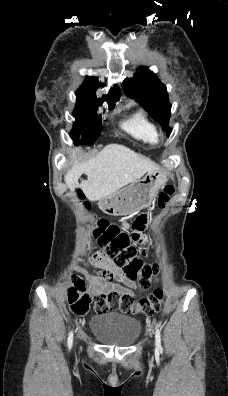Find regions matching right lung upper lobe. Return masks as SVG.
<instances>
[{"mask_svg": "<svg viewBox=\"0 0 228 396\" xmlns=\"http://www.w3.org/2000/svg\"><path fill=\"white\" fill-rule=\"evenodd\" d=\"M98 86H99V82H98L97 78L88 76L87 79L85 80V82L76 91V93L91 95V96L96 97L95 92H96ZM120 96H121L120 89L117 85H115L110 90L109 94L105 96V100L108 101V104H112L114 101H117L120 98Z\"/></svg>", "mask_w": 228, "mask_h": 396, "instance_id": "1", "label": "right lung upper lobe"}]
</instances>
